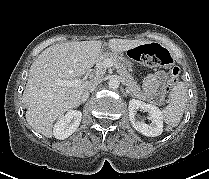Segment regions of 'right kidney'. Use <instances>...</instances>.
<instances>
[{
	"instance_id": "right-kidney-1",
	"label": "right kidney",
	"mask_w": 209,
	"mask_h": 179,
	"mask_svg": "<svg viewBox=\"0 0 209 179\" xmlns=\"http://www.w3.org/2000/svg\"><path fill=\"white\" fill-rule=\"evenodd\" d=\"M81 118L82 113L78 110H70L62 115L54 125V137L60 140L68 138L79 127Z\"/></svg>"
}]
</instances>
